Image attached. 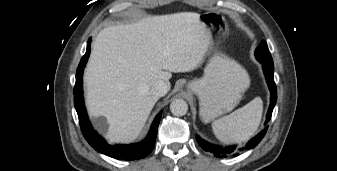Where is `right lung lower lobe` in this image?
Segmentation results:
<instances>
[{
    "mask_svg": "<svg viewBox=\"0 0 337 171\" xmlns=\"http://www.w3.org/2000/svg\"><path fill=\"white\" fill-rule=\"evenodd\" d=\"M90 42L87 43L85 55L82 57L76 72L74 87V105L79 117L82 133L87 142L98 152L118 160H138L146 157L154 148L157 130L162 113H159L150 129L147 138L138 144L111 145L101 138L92 128L83 103L82 74L90 54Z\"/></svg>",
    "mask_w": 337,
    "mask_h": 171,
    "instance_id": "98d812e1",
    "label": "right lung lower lobe"
}]
</instances>
